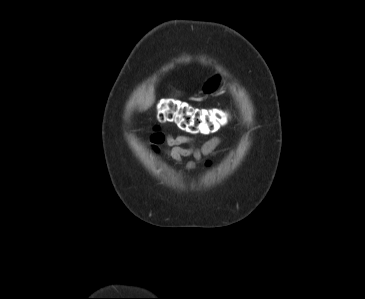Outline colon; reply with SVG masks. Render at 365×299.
Wrapping results in <instances>:
<instances>
[{"label": "colon", "instance_id": "obj_1", "mask_svg": "<svg viewBox=\"0 0 365 299\" xmlns=\"http://www.w3.org/2000/svg\"><path fill=\"white\" fill-rule=\"evenodd\" d=\"M224 118V111L219 108H195L179 100L165 99L157 109L150 147L157 150L164 142L165 136L161 131L163 124H174L192 134L208 135L223 125Z\"/></svg>", "mask_w": 365, "mask_h": 299}]
</instances>
